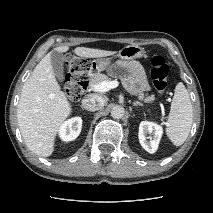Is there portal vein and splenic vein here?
<instances>
[{"mask_svg":"<svg viewBox=\"0 0 213 213\" xmlns=\"http://www.w3.org/2000/svg\"><path fill=\"white\" fill-rule=\"evenodd\" d=\"M118 81H103L93 86L92 90L94 92L104 93L118 86Z\"/></svg>","mask_w":213,"mask_h":213,"instance_id":"portal-vein-and-splenic-vein-1","label":"portal vein and splenic vein"}]
</instances>
